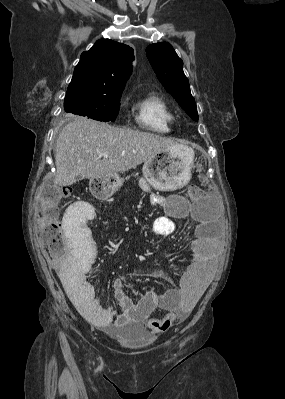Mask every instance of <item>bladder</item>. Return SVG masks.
Returning a JSON list of instances; mask_svg holds the SVG:
<instances>
[{
  "instance_id": "31cf9c89",
  "label": "bladder",
  "mask_w": 285,
  "mask_h": 399,
  "mask_svg": "<svg viewBox=\"0 0 285 399\" xmlns=\"http://www.w3.org/2000/svg\"><path fill=\"white\" fill-rule=\"evenodd\" d=\"M117 340L133 350H142L148 346L149 337L142 332H136L131 336H117Z\"/></svg>"
}]
</instances>
